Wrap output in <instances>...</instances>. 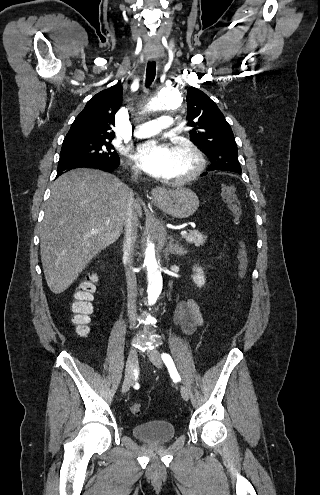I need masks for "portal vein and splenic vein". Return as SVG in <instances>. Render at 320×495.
<instances>
[{
  "label": "portal vein and splenic vein",
  "instance_id": "18ae733b",
  "mask_svg": "<svg viewBox=\"0 0 320 495\" xmlns=\"http://www.w3.org/2000/svg\"><path fill=\"white\" fill-rule=\"evenodd\" d=\"M180 234H181L182 236H184V235H186V234H187V232H186V231H181V233H180Z\"/></svg>",
  "mask_w": 320,
  "mask_h": 495
}]
</instances>
